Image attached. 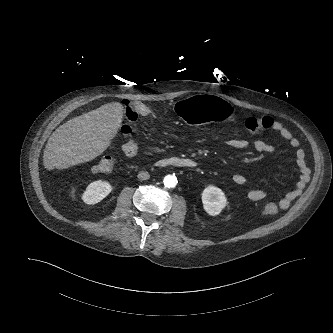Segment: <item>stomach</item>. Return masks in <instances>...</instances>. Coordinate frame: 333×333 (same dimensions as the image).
Here are the masks:
<instances>
[{
    "mask_svg": "<svg viewBox=\"0 0 333 333\" xmlns=\"http://www.w3.org/2000/svg\"><path fill=\"white\" fill-rule=\"evenodd\" d=\"M176 114L186 123L224 125L236 116V105L228 97L211 94L186 96L174 105Z\"/></svg>",
    "mask_w": 333,
    "mask_h": 333,
    "instance_id": "1",
    "label": "stomach"
}]
</instances>
